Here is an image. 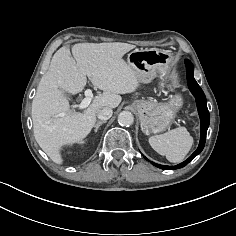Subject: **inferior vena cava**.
<instances>
[{"mask_svg": "<svg viewBox=\"0 0 236 236\" xmlns=\"http://www.w3.org/2000/svg\"><path fill=\"white\" fill-rule=\"evenodd\" d=\"M113 114V110L110 107H103L97 112V117L101 120H108Z\"/></svg>", "mask_w": 236, "mask_h": 236, "instance_id": "602c4592", "label": "inferior vena cava"}]
</instances>
